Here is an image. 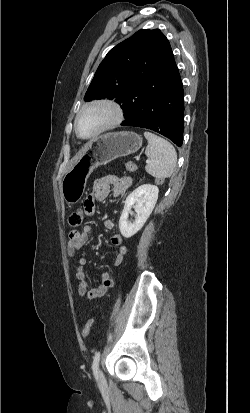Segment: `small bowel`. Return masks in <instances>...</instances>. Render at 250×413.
I'll list each match as a JSON object with an SVG mask.
<instances>
[{
  "label": "small bowel",
  "mask_w": 250,
  "mask_h": 413,
  "mask_svg": "<svg viewBox=\"0 0 250 413\" xmlns=\"http://www.w3.org/2000/svg\"><path fill=\"white\" fill-rule=\"evenodd\" d=\"M130 185L131 179L129 177H122L116 174H108L96 179L91 186V193L87 195L84 201L85 214L89 216L94 213V204L96 200H105L111 192L114 197H118L125 193ZM104 227L111 230L115 227V223L112 219H106L104 221ZM91 232L92 227L90 225H85L82 230L73 229L69 233L67 243V256L75 262V275L79 281L78 295L87 301H94L102 297L114 283V277L109 271H105L101 274L100 282L95 287H90L86 280L84 267L87 265L88 259L86 256L80 255L79 252L88 242ZM111 243L116 248L114 265L120 266L127 253V248L123 244V237L121 234H113Z\"/></svg>",
  "instance_id": "small-bowel-1"
}]
</instances>
